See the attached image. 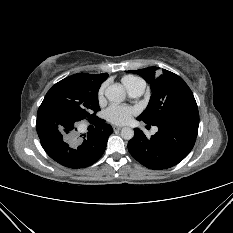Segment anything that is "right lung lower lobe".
Wrapping results in <instances>:
<instances>
[{
  "instance_id": "right-lung-lower-lobe-1",
  "label": "right lung lower lobe",
  "mask_w": 233,
  "mask_h": 233,
  "mask_svg": "<svg viewBox=\"0 0 233 233\" xmlns=\"http://www.w3.org/2000/svg\"><path fill=\"white\" fill-rule=\"evenodd\" d=\"M97 127L80 137L75 123H58L51 116L37 118L36 129L45 152L57 163L69 168H84L95 163L104 153L108 137L113 133L109 124L96 117Z\"/></svg>"
}]
</instances>
